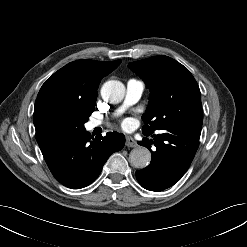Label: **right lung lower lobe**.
I'll return each instance as SVG.
<instances>
[{
  "mask_svg": "<svg viewBox=\"0 0 247 247\" xmlns=\"http://www.w3.org/2000/svg\"><path fill=\"white\" fill-rule=\"evenodd\" d=\"M36 140L53 176L64 186L80 189L100 174L111 154L125 144L123 134L109 132L105 137H90L85 129L76 132L42 130Z\"/></svg>",
  "mask_w": 247,
  "mask_h": 247,
  "instance_id": "98d812e1",
  "label": "right lung lower lobe"
}]
</instances>
